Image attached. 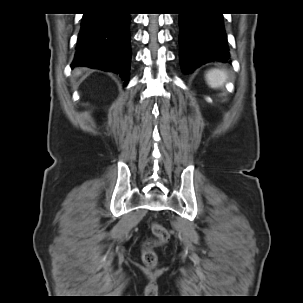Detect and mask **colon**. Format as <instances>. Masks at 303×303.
Here are the masks:
<instances>
[{
    "instance_id": "colon-1",
    "label": "colon",
    "mask_w": 303,
    "mask_h": 303,
    "mask_svg": "<svg viewBox=\"0 0 303 303\" xmlns=\"http://www.w3.org/2000/svg\"><path fill=\"white\" fill-rule=\"evenodd\" d=\"M152 232L155 238L146 242L141 250L142 261L150 268H154L158 262L156 248L167 244L170 238L167 229L158 223L152 224Z\"/></svg>"
}]
</instances>
